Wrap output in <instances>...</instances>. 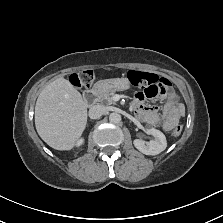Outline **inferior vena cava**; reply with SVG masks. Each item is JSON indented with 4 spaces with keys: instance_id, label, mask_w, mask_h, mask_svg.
I'll use <instances>...</instances> for the list:
<instances>
[{
    "instance_id": "obj_1",
    "label": "inferior vena cava",
    "mask_w": 223,
    "mask_h": 223,
    "mask_svg": "<svg viewBox=\"0 0 223 223\" xmlns=\"http://www.w3.org/2000/svg\"><path fill=\"white\" fill-rule=\"evenodd\" d=\"M105 109L102 105L97 104L89 109V117L92 119H96L101 117V115L104 113Z\"/></svg>"
}]
</instances>
